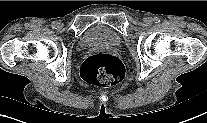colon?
I'll list each match as a JSON object with an SVG mask.
<instances>
[{"mask_svg":"<svg viewBox=\"0 0 207 123\" xmlns=\"http://www.w3.org/2000/svg\"><path fill=\"white\" fill-rule=\"evenodd\" d=\"M81 76L88 83L101 87H120L128 78L123 63L117 57L105 53L86 58L81 66Z\"/></svg>","mask_w":207,"mask_h":123,"instance_id":"1","label":"colon"}]
</instances>
